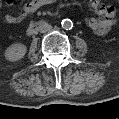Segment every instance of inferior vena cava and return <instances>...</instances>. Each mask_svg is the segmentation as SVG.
<instances>
[{"label": "inferior vena cava", "mask_w": 119, "mask_h": 119, "mask_svg": "<svg viewBox=\"0 0 119 119\" xmlns=\"http://www.w3.org/2000/svg\"><path fill=\"white\" fill-rule=\"evenodd\" d=\"M52 30V26L48 23H44L40 26L41 33H49Z\"/></svg>", "instance_id": "1"}]
</instances>
